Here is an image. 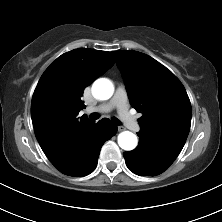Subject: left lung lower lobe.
Listing matches in <instances>:
<instances>
[{"label": "left lung lower lobe", "mask_w": 222, "mask_h": 222, "mask_svg": "<svg viewBox=\"0 0 222 222\" xmlns=\"http://www.w3.org/2000/svg\"><path fill=\"white\" fill-rule=\"evenodd\" d=\"M127 167L137 175L155 176L164 172L176 159L153 142L139 139L136 149L124 154Z\"/></svg>", "instance_id": "1"}]
</instances>
